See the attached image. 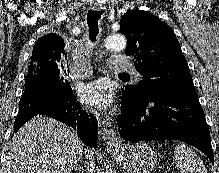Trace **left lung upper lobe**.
I'll use <instances>...</instances> for the list:
<instances>
[{"label":"left lung upper lobe","mask_w":219,"mask_h":173,"mask_svg":"<svg viewBox=\"0 0 219 173\" xmlns=\"http://www.w3.org/2000/svg\"><path fill=\"white\" fill-rule=\"evenodd\" d=\"M120 32L127 37L126 54L135 58L144 78L126 86L128 96L143 100L195 91L180 44L167 24L147 11L132 10L121 18Z\"/></svg>","instance_id":"left-lung-upper-lobe-1"}]
</instances>
